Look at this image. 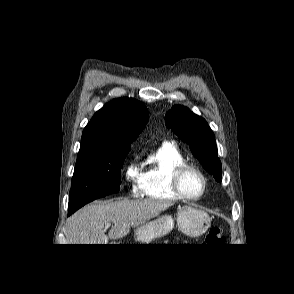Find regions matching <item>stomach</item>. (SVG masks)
<instances>
[{
    "mask_svg": "<svg viewBox=\"0 0 294 294\" xmlns=\"http://www.w3.org/2000/svg\"><path fill=\"white\" fill-rule=\"evenodd\" d=\"M176 220L178 229L192 238L203 235L211 223V219L206 212L191 206L179 208ZM173 228L174 219L170 215H161L136 227L134 237L138 244H149L168 235Z\"/></svg>",
    "mask_w": 294,
    "mask_h": 294,
    "instance_id": "stomach-1",
    "label": "stomach"
}]
</instances>
